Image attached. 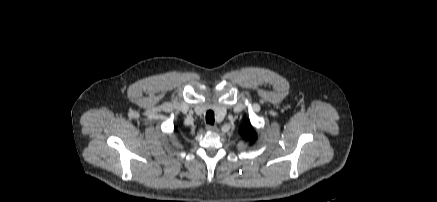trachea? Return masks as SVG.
<instances>
[{"instance_id": "trachea-1", "label": "trachea", "mask_w": 437, "mask_h": 202, "mask_svg": "<svg viewBox=\"0 0 437 202\" xmlns=\"http://www.w3.org/2000/svg\"><path fill=\"white\" fill-rule=\"evenodd\" d=\"M206 122L208 124H214V112L212 110L207 111L206 113Z\"/></svg>"}]
</instances>
